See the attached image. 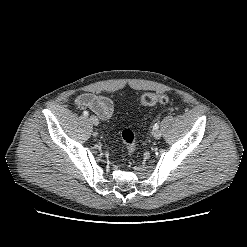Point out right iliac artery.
<instances>
[{"label": "right iliac artery", "instance_id": "obj_1", "mask_svg": "<svg viewBox=\"0 0 247 247\" xmlns=\"http://www.w3.org/2000/svg\"><path fill=\"white\" fill-rule=\"evenodd\" d=\"M83 115H84V116H88V115H89L88 111H84V112H83Z\"/></svg>", "mask_w": 247, "mask_h": 247}]
</instances>
